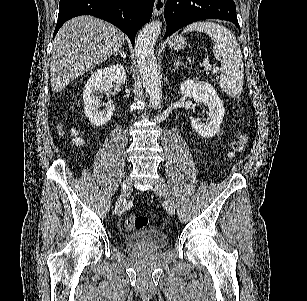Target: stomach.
<instances>
[{
	"mask_svg": "<svg viewBox=\"0 0 307 301\" xmlns=\"http://www.w3.org/2000/svg\"><path fill=\"white\" fill-rule=\"evenodd\" d=\"M170 48H184L187 44L186 38L184 36H181V34H176V36H173L171 42H169Z\"/></svg>",
	"mask_w": 307,
	"mask_h": 301,
	"instance_id": "obj_1",
	"label": "stomach"
}]
</instances>
